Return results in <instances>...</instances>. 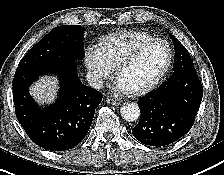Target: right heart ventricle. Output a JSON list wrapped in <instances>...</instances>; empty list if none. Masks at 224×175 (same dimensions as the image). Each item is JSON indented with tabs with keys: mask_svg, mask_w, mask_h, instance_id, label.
<instances>
[{
	"mask_svg": "<svg viewBox=\"0 0 224 175\" xmlns=\"http://www.w3.org/2000/svg\"><path fill=\"white\" fill-rule=\"evenodd\" d=\"M153 38L152 35L140 31L116 32L104 37L98 49L104 58L116 67L135 48Z\"/></svg>",
	"mask_w": 224,
	"mask_h": 175,
	"instance_id": "obj_1",
	"label": "right heart ventricle"
}]
</instances>
